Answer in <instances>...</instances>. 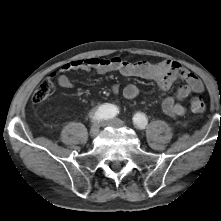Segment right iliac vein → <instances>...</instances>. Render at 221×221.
I'll use <instances>...</instances> for the list:
<instances>
[{
    "mask_svg": "<svg viewBox=\"0 0 221 221\" xmlns=\"http://www.w3.org/2000/svg\"><path fill=\"white\" fill-rule=\"evenodd\" d=\"M100 126H101V124L97 123V122L92 125V127L90 129V135L92 137H96L99 134Z\"/></svg>",
    "mask_w": 221,
    "mask_h": 221,
    "instance_id": "1",
    "label": "right iliac vein"
}]
</instances>
